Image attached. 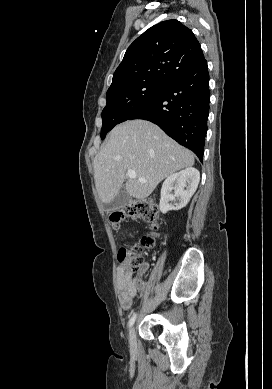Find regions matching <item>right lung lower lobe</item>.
<instances>
[{
    "mask_svg": "<svg viewBox=\"0 0 272 389\" xmlns=\"http://www.w3.org/2000/svg\"><path fill=\"white\" fill-rule=\"evenodd\" d=\"M209 102V72L204 59L167 81L154 98L128 119H144L157 124L203 162Z\"/></svg>",
    "mask_w": 272,
    "mask_h": 389,
    "instance_id": "right-lung-lower-lobe-1",
    "label": "right lung lower lobe"
}]
</instances>
